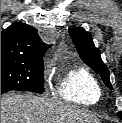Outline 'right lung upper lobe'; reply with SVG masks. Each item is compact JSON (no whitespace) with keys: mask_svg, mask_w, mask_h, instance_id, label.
Segmentation results:
<instances>
[{"mask_svg":"<svg viewBox=\"0 0 122 123\" xmlns=\"http://www.w3.org/2000/svg\"><path fill=\"white\" fill-rule=\"evenodd\" d=\"M49 47L37 29L25 23L15 22L1 32V56L43 59Z\"/></svg>","mask_w":122,"mask_h":123,"instance_id":"1","label":"right lung upper lobe"}]
</instances>
